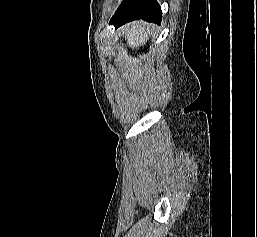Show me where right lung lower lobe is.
I'll return each instance as SVG.
<instances>
[{"mask_svg":"<svg viewBox=\"0 0 257 237\" xmlns=\"http://www.w3.org/2000/svg\"><path fill=\"white\" fill-rule=\"evenodd\" d=\"M161 18L162 12L156 0H124L112 17L110 24L118 27L138 19L159 23Z\"/></svg>","mask_w":257,"mask_h":237,"instance_id":"98d812e1","label":"right lung lower lobe"}]
</instances>
